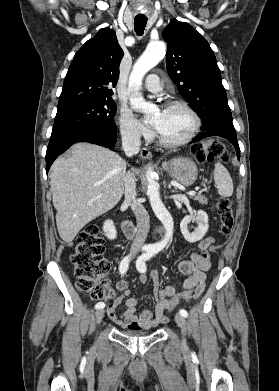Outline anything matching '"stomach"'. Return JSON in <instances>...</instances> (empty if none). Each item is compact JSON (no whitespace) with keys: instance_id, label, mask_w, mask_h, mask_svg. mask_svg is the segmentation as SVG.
Returning a JSON list of instances; mask_svg holds the SVG:
<instances>
[{"instance_id":"stomach-1","label":"stomach","mask_w":279,"mask_h":391,"mask_svg":"<svg viewBox=\"0 0 279 391\" xmlns=\"http://www.w3.org/2000/svg\"><path fill=\"white\" fill-rule=\"evenodd\" d=\"M162 167L172 179L185 186L192 185L198 175L196 164L186 157H176L164 161Z\"/></svg>"}]
</instances>
